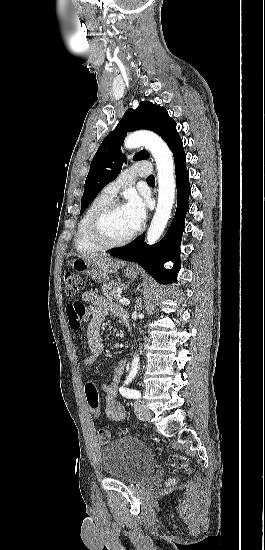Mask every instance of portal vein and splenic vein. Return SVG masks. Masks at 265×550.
Returning a JSON list of instances; mask_svg holds the SVG:
<instances>
[{
  "instance_id": "obj_1",
  "label": "portal vein and splenic vein",
  "mask_w": 265,
  "mask_h": 550,
  "mask_svg": "<svg viewBox=\"0 0 265 550\" xmlns=\"http://www.w3.org/2000/svg\"><path fill=\"white\" fill-rule=\"evenodd\" d=\"M119 302L122 304V305H129L130 304V301L128 299H125V298H120L119 299Z\"/></svg>"
}]
</instances>
